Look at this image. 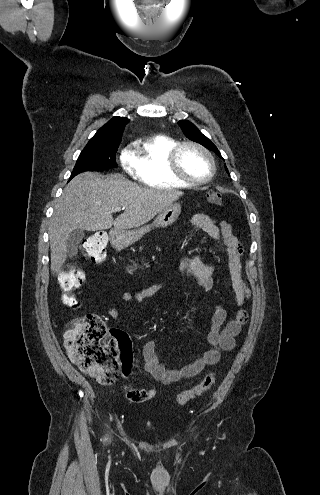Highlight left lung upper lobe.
I'll use <instances>...</instances> for the list:
<instances>
[{
  "label": "left lung upper lobe",
  "mask_w": 320,
  "mask_h": 495,
  "mask_svg": "<svg viewBox=\"0 0 320 495\" xmlns=\"http://www.w3.org/2000/svg\"><path fill=\"white\" fill-rule=\"evenodd\" d=\"M179 125H180L183 133L185 134V136L188 139L200 143L201 145L205 146L206 148L214 151L219 157L222 158L217 147L206 136H204L193 123H191L187 120H182V121H179ZM226 170H227V168H226ZM227 172H228V170H227Z\"/></svg>",
  "instance_id": "1"
}]
</instances>
